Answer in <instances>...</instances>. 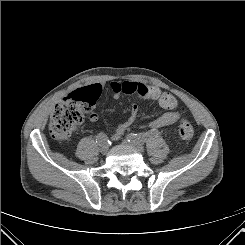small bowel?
Segmentation results:
<instances>
[{"mask_svg": "<svg viewBox=\"0 0 245 245\" xmlns=\"http://www.w3.org/2000/svg\"><path fill=\"white\" fill-rule=\"evenodd\" d=\"M110 88L114 99H119L122 95H139V90L144 89L147 91V99H153L159 102V106L166 112L147 122L146 125L150 129H158L173 125L180 119V112L175 109L177 107V100L169 93L160 91L157 87L148 86L137 82L114 81L110 84ZM138 116L139 108L136 104H132L129 117L124 123L118 125L114 129L112 138L114 140L120 138L127 127H129L138 118ZM88 120L90 122L97 121L98 114L96 112H91L88 116Z\"/></svg>", "mask_w": 245, "mask_h": 245, "instance_id": "small-bowel-1", "label": "small bowel"}]
</instances>
